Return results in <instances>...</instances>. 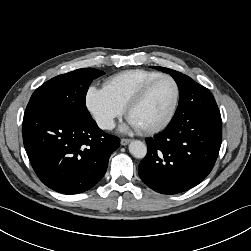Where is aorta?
Listing matches in <instances>:
<instances>
[{"instance_id":"762f6f07","label":"aorta","mask_w":251,"mask_h":251,"mask_svg":"<svg viewBox=\"0 0 251 251\" xmlns=\"http://www.w3.org/2000/svg\"><path fill=\"white\" fill-rule=\"evenodd\" d=\"M129 152L138 159H142L147 154L146 145L139 140H134L129 144Z\"/></svg>"}]
</instances>
